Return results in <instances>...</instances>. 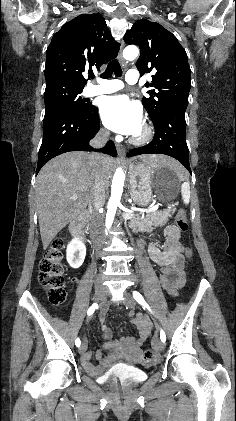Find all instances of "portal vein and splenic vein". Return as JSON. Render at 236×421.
<instances>
[{"instance_id":"1","label":"portal vein and splenic vein","mask_w":236,"mask_h":421,"mask_svg":"<svg viewBox=\"0 0 236 421\" xmlns=\"http://www.w3.org/2000/svg\"><path fill=\"white\" fill-rule=\"evenodd\" d=\"M70 198H72V200H76V198H78L77 194H72V196H70ZM159 204H155V206H151V208H142V213H154V211H157ZM130 210L131 211H140V208H135L133 205H130Z\"/></svg>"}]
</instances>
